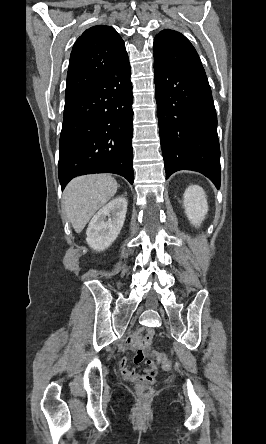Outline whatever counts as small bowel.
I'll use <instances>...</instances> for the list:
<instances>
[{
    "label": "small bowel",
    "instance_id": "small-bowel-1",
    "mask_svg": "<svg viewBox=\"0 0 266 444\" xmlns=\"http://www.w3.org/2000/svg\"><path fill=\"white\" fill-rule=\"evenodd\" d=\"M152 335L153 331L148 330L144 337L133 336L126 341V347L134 351V364L139 365L142 363L145 356L144 349L150 344ZM120 370L130 381L151 383L155 380L157 367L155 363H148V368L141 373L136 369L130 368L129 358L123 357L120 361Z\"/></svg>",
    "mask_w": 266,
    "mask_h": 444
}]
</instances>
